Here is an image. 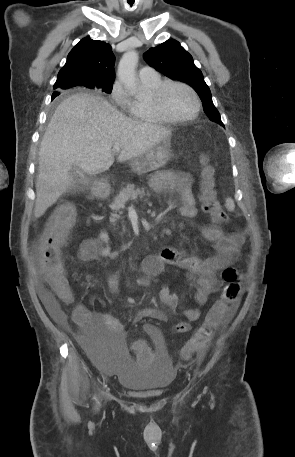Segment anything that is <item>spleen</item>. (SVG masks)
I'll return each instance as SVG.
<instances>
[{"mask_svg":"<svg viewBox=\"0 0 295 457\" xmlns=\"http://www.w3.org/2000/svg\"><path fill=\"white\" fill-rule=\"evenodd\" d=\"M225 206L229 211H233L235 208L234 201L231 198L226 199Z\"/></svg>","mask_w":295,"mask_h":457,"instance_id":"3e777b00","label":"spleen"}]
</instances>
